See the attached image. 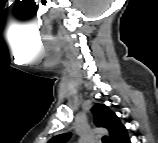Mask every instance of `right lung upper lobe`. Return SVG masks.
I'll return each mask as SVG.
<instances>
[{
	"label": "right lung upper lobe",
	"instance_id": "cb5924a9",
	"mask_svg": "<svg viewBox=\"0 0 158 143\" xmlns=\"http://www.w3.org/2000/svg\"><path fill=\"white\" fill-rule=\"evenodd\" d=\"M91 111L95 116L97 127L105 128L109 132L110 143H122L128 139L127 130L120 122L119 118L108 109L107 106L96 104ZM70 139V134L64 133L54 136L49 143H66Z\"/></svg>",
	"mask_w": 158,
	"mask_h": 143
}]
</instances>
